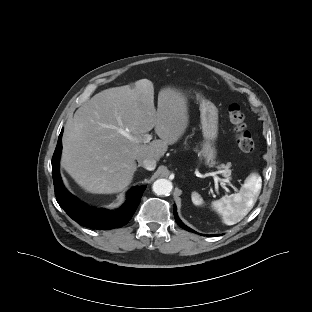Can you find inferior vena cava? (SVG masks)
<instances>
[{
  "label": "inferior vena cava",
  "instance_id": "obj_1",
  "mask_svg": "<svg viewBox=\"0 0 312 312\" xmlns=\"http://www.w3.org/2000/svg\"><path fill=\"white\" fill-rule=\"evenodd\" d=\"M138 164L145 169L152 171L156 168V160L153 158H137Z\"/></svg>",
  "mask_w": 312,
  "mask_h": 312
}]
</instances>
